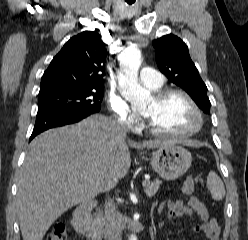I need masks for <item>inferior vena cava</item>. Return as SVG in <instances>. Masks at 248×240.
Segmentation results:
<instances>
[{
  "label": "inferior vena cava",
  "mask_w": 248,
  "mask_h": 240,
  "mask_svg": "<svg viewBox=\"0 0 248 240\" xmlns=\"http://www.w3.org/2000/svg\"><path fill=\"white\" fill-rule=\"evenodd\" d=\"M118 131L126 134L128 131L127 126L121 122H114ZM111 186L106 190H110ZM105 238L106 240H121V232L119 230V221L117 218V209L113 201L108 198L105 201Z\"/></svg>",
  "instance_id": "1"
}]
</instances>
